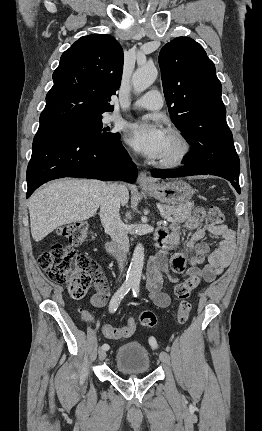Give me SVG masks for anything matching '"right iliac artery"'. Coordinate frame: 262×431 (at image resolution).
Here are the masks:
<instances>
[{"label":"right iliac artery","mask_w":262,"mask_h":431,"mask_svg":"<svg viewBox=\"0 0 262 431\" xmlns=\"http://www.w3.org/2000/svg\"><path fill=\"white\" fill-rule=\"evenodd\" d=\"M133 283L130 281H125L122 286L117 290V292L112 297L110 304H109V311L111 313L115 312L120 304V301L123 299V297L130 291L132 288ZM102 348L104 350H109L108 344H103Z\"/></svg>","instance_id":"right-iliac-artery-1"}]
</instances>
